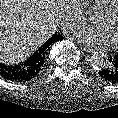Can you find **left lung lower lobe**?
<instances>
[{"label": "left lung lower lobe", "instance_id": "left-lung-lower-lobe-1", "mask_svg": "<svg viewBox=\"0 0 118 118\" xmlns=\"http://www.w3.org/2000/svg\"><path fill=\"white\" fill-rule=\"evenodd\" d=\"M99 75L107 82L118 84V54L109 58L108 64L99 71Z\"/></svg>", "mask_w": 118, "mask_h": 118}]
</instances>
